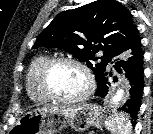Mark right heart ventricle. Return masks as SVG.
Returning <instances> with one entry per match:
<instances>
[{"instance_id":"right-heart-ventricle-1","label":"right heart ventricle","mask_w":153,"mask_h":134,"mask_svg":"<svg viewBox=\"0 0 153 134\" xmlns=\"http://www.w3.org/2000/svg\"><path fill=\"white\" fill-rule=\"evenodd\" d=\"M49 59L45 54L36 56L29 64L26 74V90L29 98L39 104L47 103L49 100L42 94L38 77L44 63Z\"/></svg>"}]
</instances>
